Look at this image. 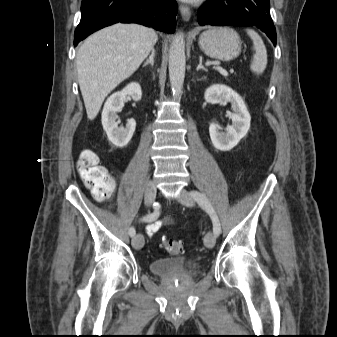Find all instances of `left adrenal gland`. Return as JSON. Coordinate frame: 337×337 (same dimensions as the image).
I'll return each mask as SVG.
<instances>
[{"instance_id":"left-adrenal-gland-1","label":"left adrenal gland","mask_w":337,"mask_h":337,"mask_svg":"<svg viewBox=\"0 0 337 337\" xmlns=\"http://www.w3.org/2000/svg\"><path fill=\"white\" fill-rule=\"evenodd\" d=\"M200 69L204 70V71H208L203 65H202V57H200L199 59V65L197 66V71H199Z\"/></svg>"}]
</instances>
